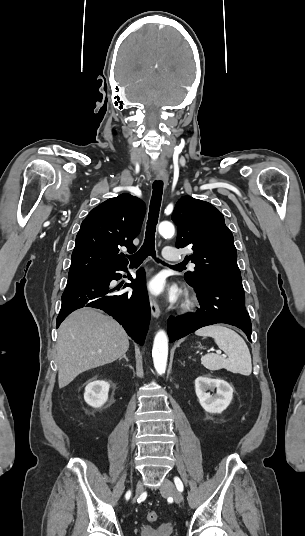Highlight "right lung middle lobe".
<instances>
[{"label":"right lung middle lobe","mask_w":305,"mask_h":536,"mask_svg":"<svg viewBox=\"0 0 305 536\" xmlns=\"http://www.w3.org/2000/svg\"><path fill=\"white\" fill-rule=\"evenodd\" d=\"M92 276L102 277V276H103V273H96V274H93Z\"/></svg>","instance_id":"1"}]
</instances>
